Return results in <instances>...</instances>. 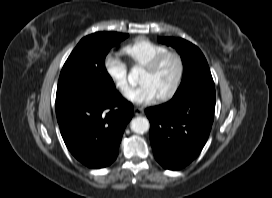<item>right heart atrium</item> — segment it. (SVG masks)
I'll return each instance as SVG.
<instances>
[{"mask_svg": "<svg viewBox=\"0 0 272 198\" xmlns=\"http://www.w3.org/2000/svg\"><path fill=\"white\" fill-rule=\"evenodd\" d=\"M103 67L106 75L119 91H125L128 87L127 64L116 53L109 52L104 57Z\"/></svg>", "mask_w": 272, "mask_h": 198, "instance_id": "d8ad5b80", "label": "right heart atrium"}]
</instances>
